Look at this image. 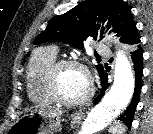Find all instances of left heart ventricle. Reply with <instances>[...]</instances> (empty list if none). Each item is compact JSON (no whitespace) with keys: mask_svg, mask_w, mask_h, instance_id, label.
<instances>
[{"mask_svg":"<svg viewBox=\"0 0 153 134\" xmlns=\"http://www.w3.org/2000/svg\"><path fill=\"white\" fill-rule=\"evenodd\" d=\"M58 85L60 93L68 100L83 98L89 89L85 73L75 67H67L60 72Z\"/></svg>","mask_w":153,"mask_h":134,"instance_id":"b2bd125f","label":"left heart ventricle"}]
</instances>
